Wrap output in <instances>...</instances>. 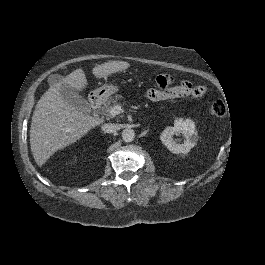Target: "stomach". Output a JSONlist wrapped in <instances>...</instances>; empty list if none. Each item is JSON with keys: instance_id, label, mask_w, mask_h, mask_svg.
<instances>
[{"instance_id": "0dacf381", "label": "stomach", "mask_w": 265, "mask_h": 265, "mask_svg": "<svg viewBox=\"0 0 265 265\" xmlns=\"http://www.w3.org/2000/svg\"><path fill=\"white\" fill-rule=\"evenodd\" d=\"M117 91H118L117 86L105 84V85L101 86L100 88H98L97 90H95V93L97 95H99L101 93L102 97H108Z\"/></svg>"}]
</instances>
